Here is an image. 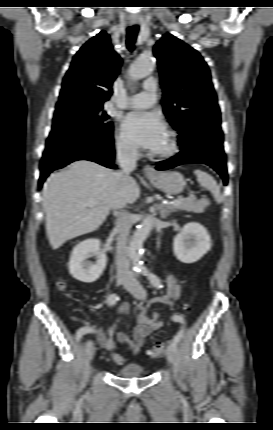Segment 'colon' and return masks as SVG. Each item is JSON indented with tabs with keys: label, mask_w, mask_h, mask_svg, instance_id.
Masks as SVG:
<instances>
[{
	"label": "colon",
	"mask_w": 273,
	"mask_h": 430,
	"mask_svg": "<svg viewBox=\"0 0 273 430\" xmlns=\"http://www.w3.org/2000/svg\"><path fill=\"white\" fill-rule=\"evenodd\" d=\"M58 288L61 289V290H63L65 288V284L62 281L58 282ZM164 349H165V343L164 342H157L148 351V355L151 358H159L162 355ZM112 358L118 364L124 363V359L120 355H118V354H112Z\"/></svg>",
	"instance_id": "obj_1"
}]
</instances>
